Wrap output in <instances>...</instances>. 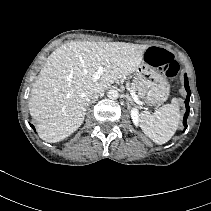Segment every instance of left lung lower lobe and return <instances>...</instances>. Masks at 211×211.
Masks as SVG:
<instances>
[{"instance_id": "left-lung-lower-lobe-1", "label": "left lung lower lobe", "mask_w": 211, "mask_h": 211, "mask_svg": "<svg viewBox=\"0 0 211 211\" xmlns=\"http://www.w3.org/2000/svg\"><path fill=\"white\" fill-rule=\"evenodd\" d=\"M184 81H185V89L187 91V97H186V100H185L186 113L184 115L183 124H184V127L186 128L187 127L186 120H187V117L189 115V110H190L189 100H190V95H191V91H190L189 83H188V78H187L186 74L184 76Z\"/></svg>"}]
</instances>
